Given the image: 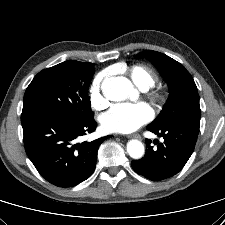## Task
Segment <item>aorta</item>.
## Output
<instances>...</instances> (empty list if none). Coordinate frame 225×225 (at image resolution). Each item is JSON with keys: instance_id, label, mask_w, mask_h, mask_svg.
Wrapping results in <instances>:
<instances>
[{"instance_id": "762f6f07", "label": "aorta", "mask_w": 225, "mask_h": 225, "mask_svg": "<svg viewBox=\"0 0 225 225\" xmlns=\"http://www.w3.org/2000/svg\"><path fill=\"white\" fill-rule=\"evenodd\" d=\"M101 90L107 99L121 101L133 92V85L126 77L114 76L104 79ZM127 152L131 158L140 159L144 156L145 148L142 142L132 139L127 143Z\"/></svg>"}]
</instances>
